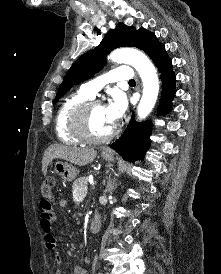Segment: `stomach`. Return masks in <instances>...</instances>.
Listing matches in <instances>:
<instances>
[{
    "label": "stomach",
    "mask_w": 221,
    "mask_h": 274,
    "mask_svg": "<svg viewBox=\"0 0 221 274\" xmlns=\"http://www.w3.org/2000/svg\"><path fill=\"white\" fill-rule=\"evenodd\" d=\"M102 158L108 162H111L114 160L113 154H107L105 152H102L101 154ZM54 171L57 173V175L62 179L63 182H71L77 177V169L63 161H57L54 164Z\"/></svg>",
    "instance_id": "stomach-1"
}]
</instances>
